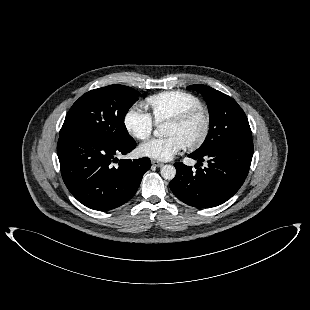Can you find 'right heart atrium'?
<instances>
[{"label":"right heart atrium","instance_id":"right-heart-atrium-1","mask_svg":"<svg viewBox=\"0 0 310 310\" xmlns=\"http://www.w3.org/2000/svg\"><path fill=\"white\" fill-rule=\"evenodd\" d=\"M123 123L127 132L138 140L149 138L154 128L152 117L136 105L126 111Z\"/></svg>","mask_w":310,"mask_h":310}]
</instances>
